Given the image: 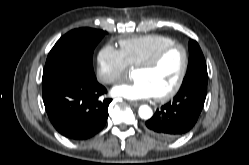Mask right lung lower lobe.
I'll use <instances>...</instances> for the list:
<instances>
[{
  "label": "right lung lower lobe",
  "mask_w": 249,
  "mask_h": 165,
  "mask_svg": "<svg viewBox=\"0 0 249 165\" xmlns=\"http://www.w3.org/2000/svg\"><path fill=\"white\" fill-rule=\"evenodd\" d=\"M43 102L55 129L73 140H84L106 124L112 99H101L106 89L97 80L59 68L43 71Z\"/></svg>",
  "instance_id": "obj_1"
}]
</instances>
